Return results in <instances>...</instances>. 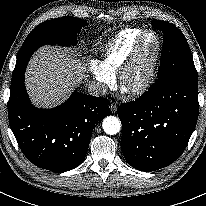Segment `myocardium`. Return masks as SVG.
Wrapping results in <instances>:
<instances>
[{
    "mask_svg": "<svg viewBox=\"0 0 206 206\" xmlns=\"http://www.w3.org/2000/svg\"><path fill=\"white\" fill-rule=\"evenodd\" d=\"M149 36H152L155 39V51H154L152 61L149 65V69L142 80H140L137 84L127 88L125 86L126 77L128 73L131 71V69L133 68V66L135 65V63L138 61L142 47ZM161 52H162V41L160 36L155 31L152 30L144 31L141 34V36L138 38L132 52L125 59V61L122 63V65L120 66L117 72L120 85L124 89H126L130 94L133 95H138L146 91L154 81L157 68L159 65L160 57H161Z\"/></svg>",
    "mask_w": 206,
    "mask_h": 206,
    "instance_id": "1",
    "label": "myocardium"
}]
</instances>
